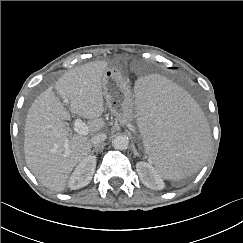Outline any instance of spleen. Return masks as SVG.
Here are the masks:
<instances>
[{
  "label": "spleen",
  "mask_w": 243,
  "mask_h": 243,
  "mask_svg": "<svg viewBox=\"0 0 243 243\" xmlns=\"http://www.w3.org/2000/svg\"><path fill=\"white\" fill-rule=\"evenodd\" d=\"M133 109L139 141L160 177L180 180L204 159L205 112L170 78L141 75L134 84Z\"/></svg>",
  "instance_id": "obj_1"
}]
</instances>
